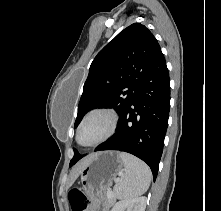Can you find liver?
Instances as JSON below:
<instances>
[{
    "mask_svg": "<svg viewBox=\"0 0 221 211\" xmlns=\"http://www.w3.org/2000/svg\"><path fill=\"white\" fill-rule=\"evenodd\" d=\"M94 156V154L86 157L85 159L81 160L80 162H78L75 167L73 168L72 172H71V176H70V181L68 183V188L70 186H72V184L75 182V180L77 179V177L80 175L81 171L83 170V168L86 166V164L91 160V158Z\"/></svg>",
    "mask_w": 221,
    "mask_h": 211,
    "instance_id": "obj_1",
    "label": "liver"
}]
</instances>
